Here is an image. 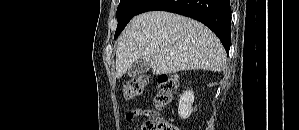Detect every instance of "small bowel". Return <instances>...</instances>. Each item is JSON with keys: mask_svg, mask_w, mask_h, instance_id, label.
Instances as JSON below:
<instances>
[{"mask_svg": "<svg viewBox=\"0 0 299 130\" xmlns=\"http://www.w3.org/2000/svg\"><path fill=\"white\" fill-rule=\"evenodd\" d=\"M143 111L142 109L140 108H135L131 111H129L127 114H126V120L128 122H132L134 121L137 117H139L140 115H142Z\"/></svg>", "mask_w": 299, "mask_h": 130, "instance_id": "obj_1", "label": "small bowel"}]
</instances>
